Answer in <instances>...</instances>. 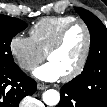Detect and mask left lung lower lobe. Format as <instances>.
Instances as JSON below:
<instances>
[{
    "label": "left lung lower lobe",
    "instance_id": "obj_1",
    "mask_svg": "<svg viewBox=\"0 0 107 107\" xmlns=\"http://www.w3.org/2000/svg\"><path fill=\"white\" fill-rule=\"evenodd\" d=\"M61 99L56 107H107V73L103 68L89 81V86L73 81L61 90Z\"/></svg>",
    "mask_w": 107,
    "mask_h": 107
}]
</instances>
